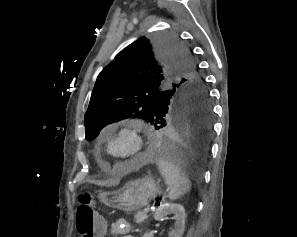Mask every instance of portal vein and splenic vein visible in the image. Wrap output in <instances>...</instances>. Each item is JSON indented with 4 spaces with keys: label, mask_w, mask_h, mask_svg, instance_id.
<instances>
[{
    "label": "portal vein and splenic vein",
    "mask_w": 297,
    "mask_h": 237,
    "mask_svg": "<svg viewBox=\"0 0 297 237\" xmlns=\"http://www.w3.org/2000/svg\"><path fill=\"white\" fill-rule=\"evenodd\" d=\"M149 210H150V207L147 206L144 211L147 213Z\"/></svg>",
    "instance_id": "obj_1"
}]
</instances>
